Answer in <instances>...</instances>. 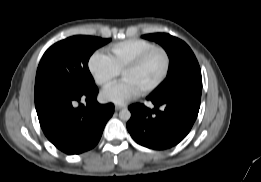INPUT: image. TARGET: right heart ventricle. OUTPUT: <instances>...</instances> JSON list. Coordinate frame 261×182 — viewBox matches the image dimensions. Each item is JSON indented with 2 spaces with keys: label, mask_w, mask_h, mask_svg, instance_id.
<instances>
[{
  "label": "right heart ventricle",
  "mask_w": 261,
  "mask_h": 182,
  "mask_svg": "<svg viewBox=\"0 0 261 182\" xmlns=\"http://www.w3.org/2000/svg\"><path fill=\"white\" fill-rule=\"evenodd\" d=\"M154 46L155 44L148 40L130 38L109 45L106 52L114 66L120 72L141 53Z\"/></svg>",
  "instance_id": "obj_1"
}]
</instances>
